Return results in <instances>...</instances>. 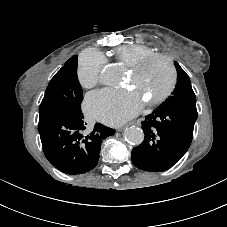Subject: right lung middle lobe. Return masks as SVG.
I'll return each mask as SVG.
<instances>
[{
	"mask_svg": "<svg viewBox=\"0 0 227 227\" xmlns=\"http://www.w3.org/2000/svg\"><path fill=\"white\" fill-rule=\"evenodd\" d=\"M83 93L77 78V56L54 75L39 108V123L62 113L82 114Z\"/></svg>",
	"mask_w": 227,
	"mask_h": 227,
	"instance_id": "obj_1",
	"label": "right lung middle lobe"
}]
</instances>
